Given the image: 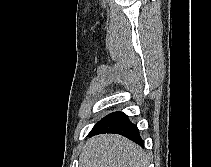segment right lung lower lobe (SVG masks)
I'll use <instances>...</instances> for the list:
<instances>
[{
  "instance_id": "1",
  "label": "right lung lower lobe",
  "mask_w": 211,
  "mask_h": 167,
  "mask_svg": "<svg viewBox=\"0 0 211 167\" xmlns=\"http://www.w3.org/2000/svg\"><path fill=\"white\" fill-rule=\"evenodd\" d=\"M102 133L120 134L143 146L137 126L123 112H114L101 119L91 130L90 136Z\"/></svg>"
}]
</instances>
